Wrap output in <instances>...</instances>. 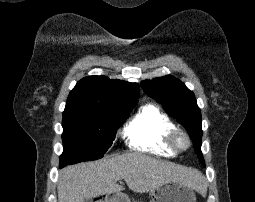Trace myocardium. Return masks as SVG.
<instances>
[{
	"instance_id": "myocardium-1",
	"label": "myocardium",
	"mask_w": 255,
	"mask_h": 202,
	"mask_svg": "<svg viewBox=\"0 0 255 202\" xmlns=\"http://www.w3.org/2000/svg\"><path fill=\"white\" fill-rule=\"evenodd\" d=\"M181 138L185 141V145L183 146L179 144V139ZM166 142L168 146L175 152H184L191 146V139L188 133L178 127H175L169 131L166 136Z\"/></svg>"
}]
</instances>
